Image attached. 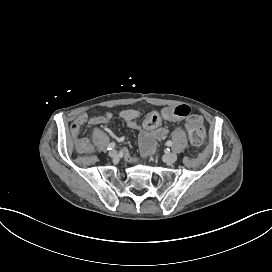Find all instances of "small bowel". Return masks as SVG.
<instances>
[{
  "instance_id": "1",
  "label": "small bowel",
  "mask_w": 272,
  "mask_h": 272,
  "mask_svg": "<svg viewBox=\"0 0 272 272\" xmlns=\"http://www.w3.org/2000/svg\"><path fill=\"white\" fill-rule=\"evenodd\" d=\"M120 118L126 123V125L134 130L139 131V143L143 154L148 155L154 149V141H161L165 139L169 133V129L163 126H156L155 128L142 130L141 125L138 122L140 112L134 109H125L119 113ZM163 116L170 122H176L178 118L171 116L167 113V109L163 112ZM113 114L107 112L103 115L89 117L87 114L82 113L76 117L74 121L82 124L89 125H107L110 123Z\"/></svg>"
}]
</instances>
